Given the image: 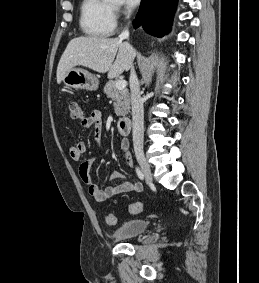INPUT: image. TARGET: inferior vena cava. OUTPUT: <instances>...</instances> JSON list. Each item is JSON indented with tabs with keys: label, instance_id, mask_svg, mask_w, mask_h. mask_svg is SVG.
I'll use <instances>...</instances> for the list:
<instances>
[{
	"label": "inferior vena cava",
	"instance_id": "1",
	"mask_svg": "<svg viewBox=\"0 0 259 283\" xmlns=\"http://www.w3.org/2000/svg\"><path fill=\"white\" fill-rule=\"evenodd\" d=\"M129 37V31L125 30L119 38L125 39ZM130 90H131V105H132V119H133V144L134 148H143L144 139V109L143 101L140 96V87L137 75L133 66H131L130 73Z\"/></svg>",
	"mask_w": 259,
	"mask_h": 283
}]
</instances>
